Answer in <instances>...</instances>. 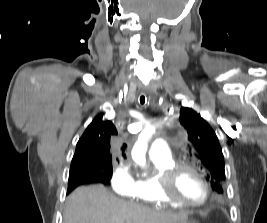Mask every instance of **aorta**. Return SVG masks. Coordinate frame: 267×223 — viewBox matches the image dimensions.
<instances>
[{"label": "aorta", "instance_id": "aorta-1", "mask_svg": "<svg viewBox=\"0 0 267 223\" xmlns=\"http://www.w3.org/2000/svg\"><path fill=\"white\" fill-rule=\"evenodd\" d=\"M154 132L155 129L152 126L146 127L133 146L131 152L132 159L141 166H144L146 163L145 153L148 147L147 142Z\"/></svg>", "mask_w": 267, "mask_h": 223}]
</instances>
